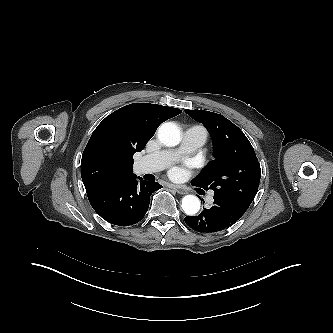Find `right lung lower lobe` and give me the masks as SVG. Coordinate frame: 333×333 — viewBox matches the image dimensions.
I'll return each instance as SVG.
<instances>
[{
  "mask_svg": "<svg viewBox=\"0 0 333 333\" xmlns=\"http://www.w3.org/2000/svg\"><path fill=\"white\" fill-rule=\"evenodd\" d=\"M135 176L113 180L87 193L93 209L107 222L128 226L143 219L151 194L162 188L157 182Z\"/></svg>",
  "mask_w": 333,
  "mask_h": 333,
  "instance_id": "right-lung-lower-lobe-1",
  "label": "right lung lower lobe"
}]
</instances>
